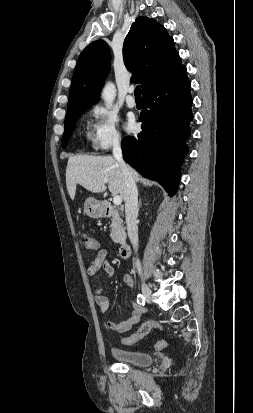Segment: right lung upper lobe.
I'll list each match as a JSON object with an SVG mask.
<instances>
[{"label": "right lung upper lobe", "mask_w": 253, "mask_h": 413, "mask_svg": "<svg viewBox=\"0 0 253 413\" xmlns=\"http://www.w3.org/2000/svg\"><path fill=\"white\" fill-rule=\"evenodd\" d=\"M126 68L131 81L142 84V94L176 75L184 66L174 48L173 38L155 20L138 17L123 44ZM110 49L106 42L90 43L76 64L65 120L85 112L99 100L103 81L110 70Z\"/></svg>", "instance_id": "right-lung-upper-lobe-1"}]
</instances>
